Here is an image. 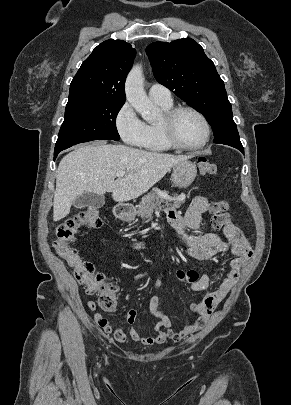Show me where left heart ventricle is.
<instances>
[{
    "mask_svg": "<svg viewBox=\"0 0 291 405\" xmlns=\"http://www.w3.org/2000/svg\"><path fill=\"white\" fill-rule=\"evenodd\" d=\"M176 134L183 144L195 146L203 142L206 131L203 122L197 115L185 111L177 119Z\"/></svg>",
    "mask_w": 291,
    "mask_h": 405,
    "instance_id": "b2bd125f",
    "label": "left heart ventricle"
}]
</instances>
